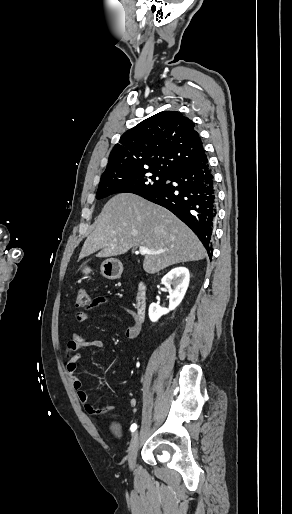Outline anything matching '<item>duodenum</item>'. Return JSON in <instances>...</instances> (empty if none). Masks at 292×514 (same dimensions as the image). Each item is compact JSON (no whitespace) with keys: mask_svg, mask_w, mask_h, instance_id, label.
<instances>
[{"mask_svg":"<svg viewBox=\"0 0 292 514\" xmlns=\"http://www.w3.org/2000/svg\"><path fill=\"white\" fill-rule=\"evenodd\" d=\"M146 306H147V298H146L145 285L141 284L139 286L136 301H135L136 320L140 324L143 322Z\"/></svg>","mask_w":292,"mask_h":514,"instance_id":"obj_1","label":"duodenum"}]
</instances>
